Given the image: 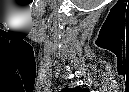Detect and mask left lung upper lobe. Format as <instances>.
Segmentation results:
<instances>
[{
  "mask_svg": "<svg viewBox=\"0 0 129 92\" xmlns=\"http://www.w3.org/2000/svg\"><path fill=\"white\" fill-rule=\"evenodd\" d=\"M62 91H67V92H82V91H87V90L86 89L85 90H82L80 87H76V88H65Z\"/></svg>",
  "mask_w": 129,
  "mask_h": 92,
  "instance_id": "5c2ea615",
  "label": "left lung upper lobe"
}]
</instances>
